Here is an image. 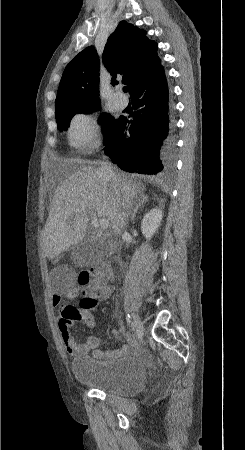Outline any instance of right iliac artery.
I'll return each mask as SVG.
<instances>
[{"label":"right iliac artery","mask_w":245,"mask_h":450,"mask_svg":"<svg viewBox=\"0 0 245 450\" xmlns=\"http://www.w3.org/2000/svg\"><path fill=\"white\" fill-rule=\"evenodd\" d=\"M130 315L129 314H127L126 315V320H127V323H128V325H130V323H131V320H130Z\"/></svg>","instance_id":"right-iliac-artery-1"}]
</instances>
